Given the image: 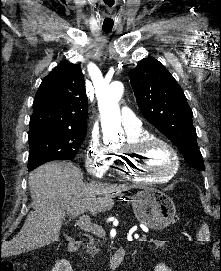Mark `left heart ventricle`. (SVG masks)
Masks as SVG:
<instances>
[{
	"instance_id": "left-heart-ventricle-1",
	"label": "left heart ventricle",
	"mask_w": 221,
	"mask_h": 271,
	"mask_svg": "<svg viewBox=\"0 0 221 271\" xmlns=\"http://www.w3.org/2000/svg\"><path fill=\"white\" fill-rule=\"evenodd\" d=\"M150 146L151 152H146V155L133 156V161L135 164L146 163V166H163V163H170L167 158L163 157V151L166 150L165 147H158L157 149H155V144H150Z\"/></svg>"
}]
</instances>
